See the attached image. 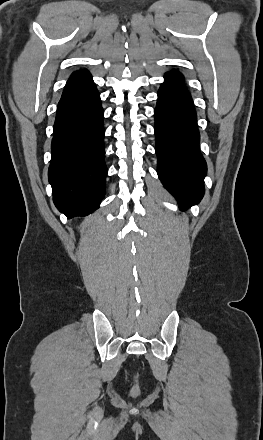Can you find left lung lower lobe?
Here are the masks:
<instances>
[{
	"label": "left lung lower lobe",
	"instance_id": "0a47b994",
	"mask_svg": "<svg viewBox=\"0 0 263 440\" xmlns=\"http://www.w3.org/2000/svg\"><path fill=\"white\" fill-rule=\"evenodd\" d=\"M155 113L158 176L181 208L200 202L207 165L199 149V131L193 101L183 75L165 74Z\"/></svg>",
	"mask_w": 263,
	"mask_h": 440
}]
</instances>
